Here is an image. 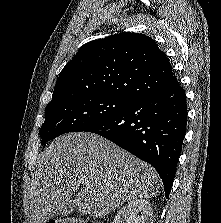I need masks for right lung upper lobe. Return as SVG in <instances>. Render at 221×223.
<instances>
[{"label": "right lung upper lobe", "mask_w": 221, "mask_h": 223, "mask_svg": "<svg viewBox=\"0 0 221 223\" xmlns=\"http://www.w3.org/2000/svg\"><path fill=\"white\" fill-rule=\"evenodd\" d=\"M178 84L153 39L123 32L83 45L60 72L50 103L82 95L135 101Z\"/></svg>", "instance_id": "obj_1"}]
</instances>
